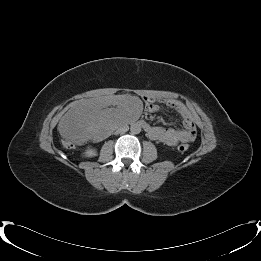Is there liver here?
Instances as JSON below:
<instances>
[{
	"label": "liver",
	"mask_w": 261,
	"mask_h": 261,
	"mask_svg": "<svg viewBox=\"0 0 261 261\" xmlns=\"http://www.w3.org/2000/svg\"><path fill=\"white\" fill-rule=\"evenodd\" d=\"M138 97H96L80 100L61 119L58 130L61 136L74 143L92 139L113 124L134 121L141 106Z\"/></svg>",
	"instance_id": "6515ba94"
}]
</instances>
